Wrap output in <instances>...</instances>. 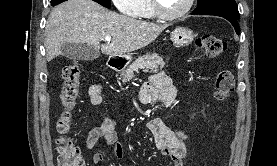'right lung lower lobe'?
I'll use <instances>...</instances> for the list:
<instances>
[{
    "instance_id": "obj_1",
    "label": "right lung lower lobe",
    "mask_w": 277,
    "mask_h": 166,
    "mask_svg": "<svg viewBox=\"0 0 277 166\" xmlns=\"http://www.w3.org/2000/svg\"><path fill=\"white\" fill-rule=\"evenodd\" d=\"M64 1H66V0H61V1H59V2H55V3L52 4V6H55V5H57V4H60V3L64 2Z\"/></svg>"
}]
</instances>
